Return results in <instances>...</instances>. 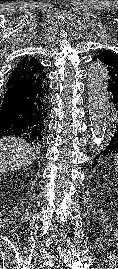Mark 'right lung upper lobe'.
Listing matches in <instances>:
<instances>
[{
    "label": "right lung upper lobe",
    "instance_id": "obj_1",
    "mask_svg": "<svg viewBox=\"0 0 118 269\" xmlns=\"http://www.w3.org/2000/svg\"><path fill=\"white\" fill-rule=\"evenodd\" d=\"M43 65L34 57L23 58L12 70L6 87H20L24 89H36L35 99L36 126L40 131L44 130V120L47 114L48 85Z\"/></svg>",
    "mask_w": 118,
    "mask_h": 269
}]
</instances>
